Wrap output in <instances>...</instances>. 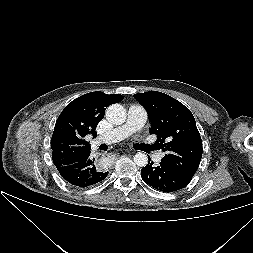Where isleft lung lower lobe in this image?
Segmentation results:
<instances>
[{
	"instance_id": "1",
	"label": "left lung lower lobe",
	"mask_w": 253,
	"mask_h": 253,
	"mask_svg": "<svg viewBox=\"0 0 253 253\" xmlns=\"http://www.w3.org/2000/svg\"><path fill=\"white\" fill-rule=\"evenodd\" d=\"M141 177L151 187L166 193L180 190L190 182L162 161L157 166L149 162L141 169Z\"/></svg>"
}]
</instances>
